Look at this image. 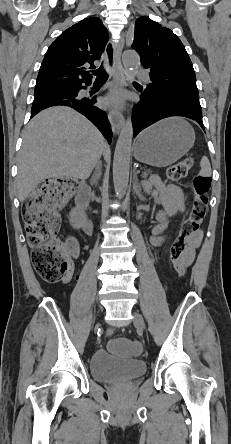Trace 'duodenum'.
I'll return each instance as SVG.
<instances>
[{
	"instance_id": "obj_1",
	"label": "duodenum",
	"mask_w": 231,
	"mask_h": 444,
	"mask_svg": "<svg viewBox=\"0 0 231 444\" xmlns=\"http://www.w3.org/2000/svg\"><path fill=\"white\" fill-rule=\"evenodd\" d=\"M90 195H91L90 186L86 183H82L78 191L76 202L83 216V230L87 234H91L92 231V224L87 216V209L90 202Z\"/></svg>"
}]
</instances>
